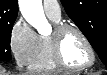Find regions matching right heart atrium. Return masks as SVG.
<instances>
[{"label":"right heart atrium","mask_w":107,"mask_h":75,"mask_svg":"<svg viewBox=\"0 0 107 75\" xmlns=\"http://www.w3.org/2000/svg\"><path fill=\"white\" fill-rule=\"evenodd\" d=\"M38 43V35L32 27L19 18L13 25L9 38L12 55L19 67L29 66Z\"/></svg>","instance_id":"d8ad5b80"}]
</instances>
